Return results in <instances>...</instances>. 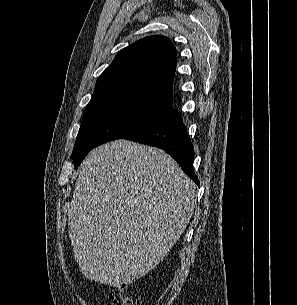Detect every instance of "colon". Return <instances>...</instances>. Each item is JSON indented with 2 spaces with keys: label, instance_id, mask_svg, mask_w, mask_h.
Returning a JSON list of instances; mask_svg holds the SVG:
<instances>
[{
  "label": "colon",
  "instance_id": "colon-1",
  "mask_svg": "<svg viewBox=\"0 0 297 305\" xmlns=\"http://www.w3.org/2000/svg\"><path fill=\"white\" fill-rule=\"evenodd\" d=\"M106 305H141L139 297L128 292V287L123 285L113 290Z\"/></svg>",
  "mask_w": 297,
  "mask_h": 305
}]
</instances>
